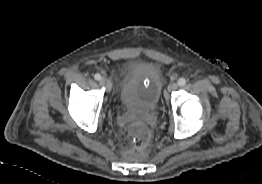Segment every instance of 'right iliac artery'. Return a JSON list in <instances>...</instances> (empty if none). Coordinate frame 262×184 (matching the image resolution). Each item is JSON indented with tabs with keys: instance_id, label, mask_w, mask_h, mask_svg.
Here are the masks:
<instances>
[{
	"instance_id": "right-iliac-artery-1",
	"label": "right iliac artery",
	"mask_w": 262,
	"mask_h": 184,
	"mask_svg": "<svg viewBox=\"0 0 262 184\" xmlns=\"http://www.w3.org/2000/svg\"><path fill=\"white\" fill-rule=\"evenodd\" d=\"M94 78H95L96 80H98V81H100V80L102 79L101 75L98 74V73L94 75Z\"/></svg>"
}]
</instances>
